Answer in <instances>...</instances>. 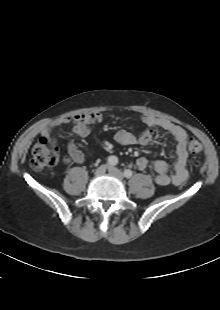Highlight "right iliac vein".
Here are the masks:
<instances>
[{
  "instance_id": "1",
  "label": "right iliac vein",
  "mask_w": 220,
  "mask_h": 310,
  "mask_svg": "<svg viewBox=\"0 0 220 310\" xmlns=\"http://www.w3.org/2000/svg\"><path fill=\"white\" fill-rule=\"evenodd\" d=\"M107 169H108V165H101L96 169L95 175L101 176L106 172Z\"/></svg>"
}]
</instances>
